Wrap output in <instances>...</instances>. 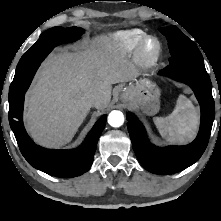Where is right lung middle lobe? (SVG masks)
Here are the masks:
<instances>
[{
  "label": "right lung middle lobe",
  "instance_id": "1",
  "mask_svg": "<svg viewBox=\"0 0 221 221\" xmlns=\"http://www.w3.org/2000/svg\"><path fill=\"white\" fill-rule=\"evenodd\" d=\"M82 32L84 30L77 27H53L43 32L17 65L13 82L10 85L9 101L26 92L40 65L39 61L41 62L57 45L79 39Z\"/></svg>",
  "mask_w": 221,
  "mask_h": 221
}]
</instances>
